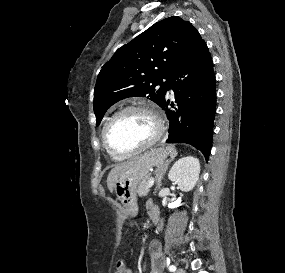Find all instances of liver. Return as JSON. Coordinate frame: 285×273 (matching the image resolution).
<instances>
[{"mask_svg": "<svg viewBox=\"0 0 285 273\" xmlns=\"http://www.w3.org/2000/svg\"><path fill=\"white\" fill-rule=\"evenodd\" d=\"M137 159L138 158H134L130 161L118 164L109 172V175L107 177V187L111 193L114 190V184L119 174L134 164Z\"/></svg>", "mask_w": 285, "mask_h": 273, "instance_id": "6515ba94", "label": "liver"}]
</instances>
